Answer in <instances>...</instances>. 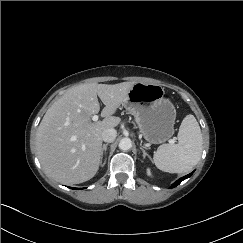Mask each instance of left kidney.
Masks as SVG:
<instances>
[{
	"instance_id": "obj_1",
	"label": "left kidney",
	"mask_w": 243,
	"mask_h": 243,
	"mask_svg": "<svg viewBox=\"0 0 243 243\" xmlns=\"http://www.w3.org/2000/svg\"><path fill=\"white\" fill-rule=\"evenodd\" d=\"M147 174H148L149 176L151 175V171H150L149 168L147 169Z\"/></svg>"
}]
</instances>
